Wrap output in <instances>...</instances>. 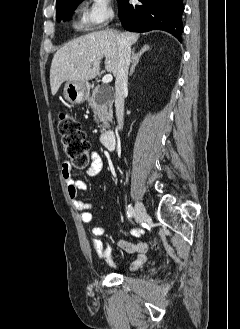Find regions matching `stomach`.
Listing matches in <instances>:
<instances>
[{
	"label": "stomach",
	"instance_id": "1",
	"mask_svg": "<svg viewBox=\"0 0 240 329\" xmlns=\"http://www.w3.org/2000/svg\"><path fill=\"white\" fill-rule=\"evenodd\" d=\"M88 82L67 81L64 86V97L71 104L83 103L89 95Z\"/></svg>",
	"mask_w": 240,
	"mask_h": 329
}]
</instances>
